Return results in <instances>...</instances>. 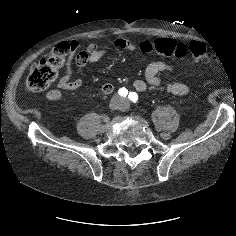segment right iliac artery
<instances>
[{"mask_svg": "<svg viewBox=\"0 0 236 236\" xmlns=\"http://www.w3.org/2000/svg\"><path fill=\"white\" fill-rule=\"evenodd\" d=\"M118 94H119L121 97H126V96L128 95V90H127L125 87L120 88V89L118 90Z\"/></svg>", "mask_w": 236, "mask_h": 236, "instance_id": "82829eb1", "label": "right iliac artery"}]
</instances>
